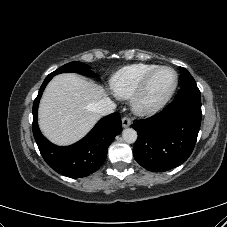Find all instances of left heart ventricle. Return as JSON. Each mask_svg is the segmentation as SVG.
Here are the masks:
<instances>
[{"instance_id":"b2bd125f","label":"left heart ventricle","mask_w":227,"mask_h":227,"mask_svg":"<svg viewBox=\"0 0 227 227\" xmlns=\"http://www.w3.org/2000/svg\"><path fill=\"white\" fill-rule=\"evenodd\" d=\"M175 74L169 69L159 71L153 78L146 96V102L153 103L163 97L173 86Z\"/></svg>"}]
</instances>
